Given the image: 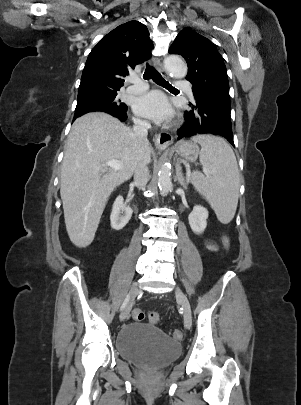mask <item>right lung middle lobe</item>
I'll return each mask as SVG.
<instances>
[{
  "label": "right lung middle lobe",
  "mask_w": 301,
  "mask_h": 405,
  "mask_svg": "<svg viewBox=\"0 0 301 405\" xmlns=\"http://www.w3.org/2000/svg\"><path fill=\"white\" fill-rule=\"evenodd\" d=\"M119 89L94 88L78 91L74 117L93 111L124 112L127 106L116 98Z\"/></svg>",
  "instance_id": "dd1d6c3e"
}]
</instances>
